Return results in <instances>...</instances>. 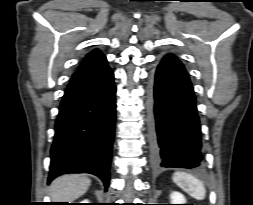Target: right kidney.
Wrapping results in <instances>:
<instances>
[{
  "mask_svg": "<svg viewBox=\"0 0 253 205\" xmlns=\"http://www.w3.org/2000/svg\"><path fill=\"white\" fill-rule=\"evenodd\" d=\"M81 203H89V201L88 200H84Z\"/></svg>",
  "mask_w": 253,
  "mask_h": 205,
  "instance_id": "ca27d5eb",
  "label": "right kidney"
}]
</instances>
